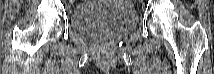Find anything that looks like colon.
Masks as SVG:
<instances>
[{
    "label": "colon",
    "mask_w": 214,
    "mask_h": 74,
    "mask_svg": "<svg viewBox=\"0 0 214 74\" xmlns=\"http://www.w3.org/2000/svg\"><path fill=\"white\" fill-rule=\"evenodd\" d=\"M129 4L132 3V1H127Z\"/></svg>",
    "instance_id": "5ec220e1"
}]
</instances>
